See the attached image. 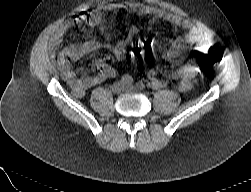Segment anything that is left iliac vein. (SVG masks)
Segmentation results:
<instances>
[{
    "mask_svg": "<svg viewBox=\"0 0 251 192\" xmlns=\"http://www.w3.org/2000/svg\"><path fill=\"white\" fill-rule=\"evenodd\" d=\"M124 89L125 90H131V91L137 90V88L134 85H131V84H125Z\"/></svg>",
    "mask_w": 251,
    "mask_h": 192,
    "instance_id": "obj_1",
    "label": "left iliac vein"
}]
</instances>
